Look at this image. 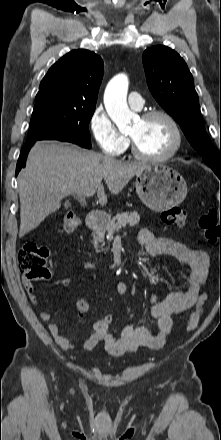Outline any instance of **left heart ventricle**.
Returning <instances> with one entry per match:
<instances>
[{
    "instance_id": "1",
    "label": "left heart ventricle",
    "mask_w": 221,
    "mask_h": 440,
    "mask_svg": "<svg viewBox=\"0 0 221 440\" xmlns=\"http://www.w3.org/2000/svg\"><path fill=\"white\" fill-rule=\"evenodd\" d=\"M130 136L142 153L152 156L165 154L174 142L173 130L163 117L139 119L132 127Z\"/></svg>"
}]
</instances>
